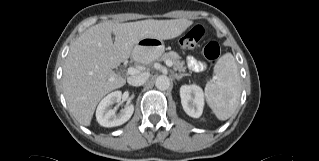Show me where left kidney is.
<instances>
[{
	"label": "left kidney",
	"mask_w": 319,
	"mask_h": 161,
	"mask_svg": "<svg viewBox=\"0 0 319 161\" xmlns=\"http://www.w3.org/2000/svg\"><path fill=\"white\" fill-rule=\"evenodd\" d=\"M181 103L186 114L193 118L202 115L204 107V95L197 85H183L180 88Z\"/></svg>",
	"instance_id": "5707ae66"
}]
</instances>
